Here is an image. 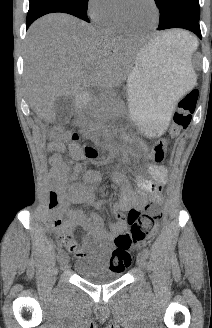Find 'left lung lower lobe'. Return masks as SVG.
<instances>
[{"mask_svg":"<svg viewBox=\"0 0 212 328\" xmlns=\"http://www.w3.org/2000/svg\"><path fill=\"white\" fill-rule=\"evenodd\" d=\"M183 28L192 31L201 39L199 20L185 12L175 13L166 23L159 25L158 30Z\"/></svg>","mask_w":212,"mask_h":328,"instance_id":"1","label":"left lung lower lobe"}]
</instances>
